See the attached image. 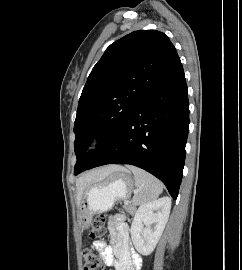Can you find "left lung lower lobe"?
<instances>
[{
    "label": "left lung lower lobe",
    "mask_w": 242,
    "mask_h": 270,
    "mask_svg": "<svg viewBox=\"0 0 242 270\" xmlns=\"http://www.w3.org/2000/svg\"><path fill=\"white\" fill-rule=\"evenodd\" d=\"M189 101L179 57L155 81L144 102L88 169L130 164L160 179L176 199L185 162Z\"/></svg>",
    "instance_id": "left-lung-lower-lobe-1"
}]
</instances>
